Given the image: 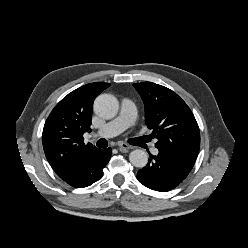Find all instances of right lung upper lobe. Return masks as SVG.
<instances>
[{
  "label": "right lung upper lobe",
  "instance_id": "obj_1",
  "mask_svg": "<svg viewBox=\"0 0 248 248\" xmlns=\"http://www.w3.org/2000/svg\"><path fill=\"white\" fill-rule=\"evenodd\" d=\"M109 83L86 84L65 96L47 118L42 134L48 162L60 177L70 173L84 156L95 149L85 144L83 134L91 132L94 99Z\"/></svg>",
  "mask_w": 248,
  "mask_h": 248
}]
</instances>
